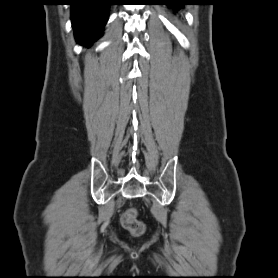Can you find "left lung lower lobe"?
Wrapping results in <instances>:
<instances>
[{"instance_id": "0a47b994", "label": "left lung lower lobe", "mask_w": 278, "mask_h": 278, "mask_svg": "<svg viewBox=\"0 0 278 278\" xmlns=\"http://www.w3.org/2000/svg\"><path fill=\"white\" fill-rule=\"evenodd\" d=\"M186 0H166V5L171 6L174 10H178L183 5H186Z\"/></svg>"}]
</instances>
